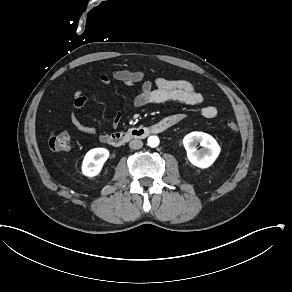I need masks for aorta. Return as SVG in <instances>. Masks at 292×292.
I'll return each instance as SVG.
<instances>
[{
  "label": "aorta",
  "instance_id": "1",
  "mask_svg": "<svg viewBox=\"0 0 292 292\" xmlns=\"http://www.w3.org/2000/svg\"><path fill=\"white\" fill-rule=\"evenodd\" d=\"M159 144V138L157 136H150L148 138V145L151 147H156Z\"/></svg>",
  "mask_w": 292,
  "mask_h": 292
}]
</instances>
